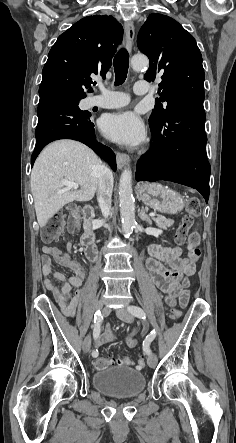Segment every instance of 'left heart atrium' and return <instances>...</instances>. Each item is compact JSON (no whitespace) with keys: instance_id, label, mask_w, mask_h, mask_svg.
I'll list each match as a JSON object with an SVG mask.
<instances>
[{"instance_id":"39dd6f15","label":"left heart atrium","mask_w":236,"mask_h":443,"mask_svg":"<svg viewBox=\"0 0 236 443\" xmlns=\"http://www.w3.org/2000/svg\"><path fill=\"white\" fill-rule=\"evenodd\" d=\"M103 131L108 138L126 145H138L146 136L142 119L132 111L107 116L103 123Z\"/></svg>"}]
</instances>
